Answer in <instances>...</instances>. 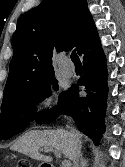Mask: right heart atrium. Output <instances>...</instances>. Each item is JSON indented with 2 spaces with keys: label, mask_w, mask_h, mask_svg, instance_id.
Wrapping results in <instances>:
<instances>
[{
  "label": "right heart atrium",
  "mask_w": 125,
  "mask_h": 167,
  "mask_svg": "<svg viewBox=\"0 0 125 167\" xmlns=\"http://www.w3.org/2000/svg\"><path fill=\"white\" fill-rule=\"evenodd\" d=\"M57 98L53 88L49 87L36 100V107L42 112H48L56 106Z\"/></svg>",
  "instance_id": "d8ad5b80"
}]
</instances>
